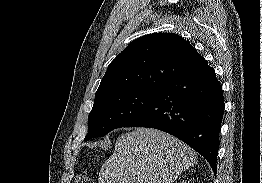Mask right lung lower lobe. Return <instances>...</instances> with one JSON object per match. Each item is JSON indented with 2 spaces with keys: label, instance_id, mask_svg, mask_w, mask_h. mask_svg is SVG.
<instances>
[{
  "label": "right lung lower lobe",
  "instance_id": "right-lung-lower-lobe-1",
  "mask_svg": "<svg viewBox=\"0 0 262 183\" xmlns=\"http://www.w3.org/2000/svg\"><path fill=\"white\" fill-rule=\"evenodd\" d=\"M224 107L221 85L206 63L162 85L124 127H151L174 135L200 153L216 174Z\"/></svg>",
  "mask_w": 262,
  "mask_h": 183
}]
</instances>
